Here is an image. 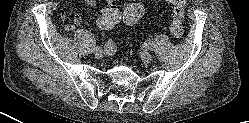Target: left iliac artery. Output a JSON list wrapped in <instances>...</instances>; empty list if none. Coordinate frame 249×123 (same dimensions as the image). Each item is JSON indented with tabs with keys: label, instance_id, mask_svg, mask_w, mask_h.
<instances>
[{
	"label": "left iliac artery",
	"instance_id": "1",
	"mask_svg": "<svg viewBox=\"0 0 249 123\" xmlns=\"http://www.w3.org/2000/svg\"><path fill=\"white\" fill-rule=\"evenodd\" d=\"M145 46L149 49V50H153V46H152V43L151 42H147L145 43Z\"/></svg>",
	"mask_w": 249,
	"mask_h": 123
}]
</instances>
